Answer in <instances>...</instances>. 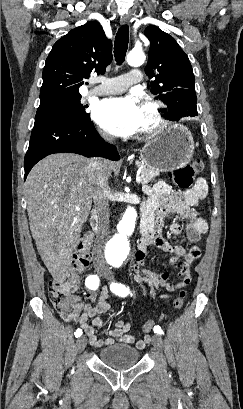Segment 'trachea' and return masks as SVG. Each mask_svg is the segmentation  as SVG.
Instances as JSON below:
<instances>
[{"instance_id":"3493384b","label":"trachea","mask_w":243,"mask_h":409,"mask_svg":"<svg viewBox=\"0 0 243 409\" xmlns=\"http://www.w3.org/2000/svg\"><path fill=\"white\" fill-rule=\"evenodd\" d=\"M129 41V26L122 25L115 37L114 42V57L117 65H121L124 62L125 55L128 48Z\"/></svg>"}]
</instances>
